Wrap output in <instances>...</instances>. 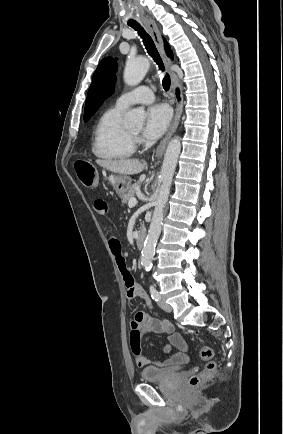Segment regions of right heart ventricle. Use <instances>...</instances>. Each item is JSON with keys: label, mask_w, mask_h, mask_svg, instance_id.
I'll list each match as a JSON object with an SVG mask.
<instances>
[{"label": "right heart ventricle", "mask_w": 283, "mask_h": 434, "mask_svg": "<svg viewBox=\"0 0 283 434\" xmlns=\"http://www.w3.org/2000/svg\"><path fill=\"white\" fill-rule=\"evenodd\" d=\"M125 109L116 105L99 118L93 134L92 152L102 160H123L135 151V139L122 123Z\"/></svg>", "instance_id": "obj_1"}]
</instances>
